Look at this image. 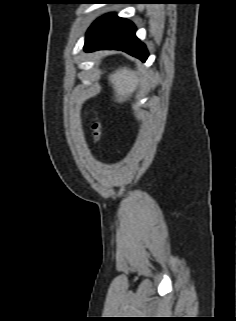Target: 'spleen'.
<instances>
[{
  "mask_svg": "<svg viewBox=\"0 0 236 321\" xmlns=\"http://www.w3.org/2000/svg\"><path fill=\"white\" fill-rule=\"evenodd\" d=\"M109 80L119 102L125 101L137 87L136 76L126 67L111 74Z\"/></svg>",
  "mask_w": 236,
  "mask_h": 321,
  "instance_id": "1",
  "label": "spleen"
}]
</instances>
